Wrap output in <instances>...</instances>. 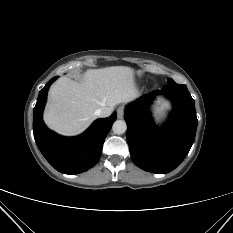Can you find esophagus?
<instances>
[{"label": "esophagus", "instance_id": "obj_1", "mask_svg": "<svg viewBox=\"0 0 233 233\" xmlns=\"http://www.w3.org/2000/svg\"><path fill=\"white\" fill-rule=\"evenodd\" d=\"M117 116L119 119H122L124 117V107L123 106H120L117 109Z\"/></svg>", "mask_w": 233, "mask_h": 233}]
</instances>
